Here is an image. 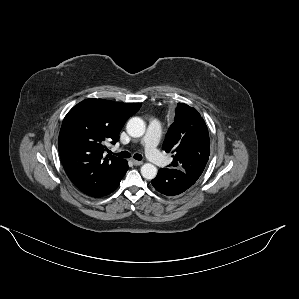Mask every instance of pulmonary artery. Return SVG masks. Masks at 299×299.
<instances>
[{"instance_id": "e3ab8cb5", "label": "pulmonary artery", "mask_w": 299, "mask_h": 299, "mask_svg": "<svg viewBox=\"0 0 299 299\" xmlns=\"http://www.w3.org/2000/svg\"><path fill=\"white\" fill-rule=\"evenodd\" d=\"M161 131L162 123L154 119L149 123L146 135L142 140L146 157L150 162L156 165H165L167 163L166 158L157 149Z\"/></svg>"}]
</instances>
